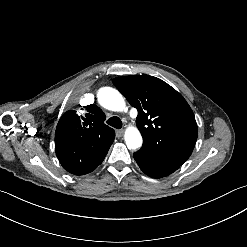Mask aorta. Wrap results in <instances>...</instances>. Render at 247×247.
Instances as JSON below:
<instances>
[{
	"instance_id": "1",
	"label": "aorta",
	"mask_w": 247,
	"mask_h": 247,
	"mask_svg": "<svg viewBox=\"0 0 247 247\" xmlns=\"http://www.w3.org/2000/svg\"><path fill=\"white\" fill-rule=\"evenodd\" d=\"M97 98L104 108L111 111L121 112L126 107L121 93L111 87L101 88L98 91ZM124 138L129 149H138L142 146V136L136 127H128L125 131Z\"/></svg>"
}]
</instances>
